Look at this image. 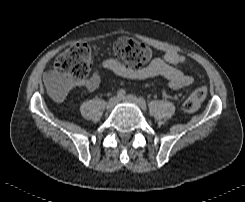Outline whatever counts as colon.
Segmentation results:
<instances>
[{
  "label": "colon",
  "mask_w": 245,
  "mask_h": 202,
  "mask_svg": "<svg viewBox=\"0 0 245 202\" xmlns=\"http://www.w3.org/2000/svg\"><path fill=\"white\" fill-rule=\"evenodd\" d=\"M113 51L118 62L127 67H139L151 57L150 47L131 35H122L114 40ZM92 68L89 46L86 43H76L69 46L58 55L54 62V70L58 78L84 79ZM54 84L58 79L52 80ZM208 90L199 87L184 101L183 110L186 113L195 112L206 98Z\"/></svg>",
  "instance_id": "5ec220e1"
}]
</instances>
